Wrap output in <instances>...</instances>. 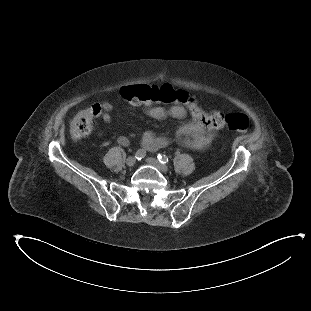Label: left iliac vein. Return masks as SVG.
Segmentation results:
<instances>
[{"instance_id":"left-iliac-vein-1","label":"left iliac vein","mask_w":311,"mask_h":311,"mask_svg":"<svg viewBox=\"0 0 311 311\" xmlns=\"http://www.w3.org/2000/svg\"><path fill=\"white\" fill-rule=\"evenodd\" d=\"M146 162L149 165L154 166L155 168H157L158 170H160L163 173H166L169 170L167 165L160 163L156 158L148 157L146 159Z\"/></svg>"}]
</instances>
